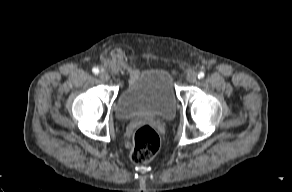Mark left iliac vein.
Returning <instances> with one entry per match:
<instances>
[{
  "mask_svg": "<svg viewBox=\"0 0 292 192\" xmlns=\"http://www.w3.org/2000/svg\"><path fill=\"white\" fill-rule=\"evenodd\" d=\"M186 79L189 83H194L197 80V74L194 71H189L186 75Z\"/></svg>",
  "mask_w": 292,
  "mask_h": 192,
  "instance_id": "obj_1",
  "label": "left iliac vein"
}]
</instances>
